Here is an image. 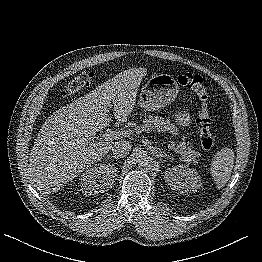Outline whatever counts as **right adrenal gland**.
<instances>
[{
  "label": "right adrenal gland",
  "instance_id": "right-adrenal-gland-1",
  "mask_svg": "<svg viewBox=\"0 0 262 262\" xmlns=\"http://www.w3.org/2000/svg\"><path fill=\"white\" fill-rule=\"evenodd\" d=\"M107 158H108V159H117V157H116V156H112V155H111V156H110V155H108V156H107Z\"/></svg>",
  "mask_w": 262,
  "mask_h": 262
}]
</instances>
